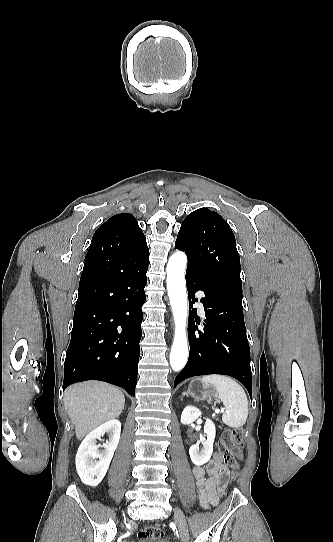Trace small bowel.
<instances>
[{"instance_id": "small-bowel-1", "label": "small bowel", "mask_w": 333, "mask_h": 542, "mask_svg": "<svg viewBox=\"0 0 333 542\" xmlns=\"http://www.w3.org/2000/svg\"><path fill=\"white\" fill-rule=\"evenodd\" d=\"M222 453L216 452L205 467L195 466L193 475L196 481L200 505L207 509L218 504L222 494L221 483L230 473L224 464Z\"/></svg>"}]
</instances>
